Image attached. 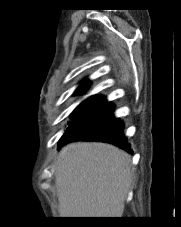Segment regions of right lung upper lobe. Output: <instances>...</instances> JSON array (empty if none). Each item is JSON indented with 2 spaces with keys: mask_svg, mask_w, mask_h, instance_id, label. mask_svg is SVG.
<instances>
[{
  "mask_svg": "<svg viewBox=\"0 0 181 227\" xmlns=\"http://www.w3.org/2000/svg\"><path fill=\"white\" fill-rule=\"evenodd\" d=\"M89 84H90L89 81H86L83 84H81L79 86V88L76 90L75 94L82 93L83 91H85L87 89V87L89 86Z\"/></svg>",
  "mask_w": 181,
  "mask_h": 227,
  "instance_id": "1",
  "label": "right lung upper lobe"
}]
</instances>
